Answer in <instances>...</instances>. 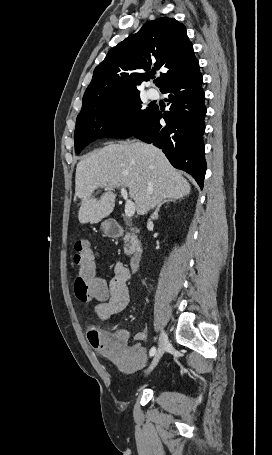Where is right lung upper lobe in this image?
Wrapping results in <instances>:
<instances>
[{
  "mask_svg": "<svg viewBox=\"0 0 272 455\" xmlns=\"http://www.w3.org/2000/svg\"><path fill=\"white\" fill-rule=\"evenodd\" d=\"M160 68L161 91L199 70L186 28L174 18L145 23L108 52L94 70L80 113L139 94L140 86Z\"/></svg>",
  "mask_w": 272,
  "mask_h": 455,
  "instance_id": "1",
  "label": "right lung upper lobe"
}]
</instances>
